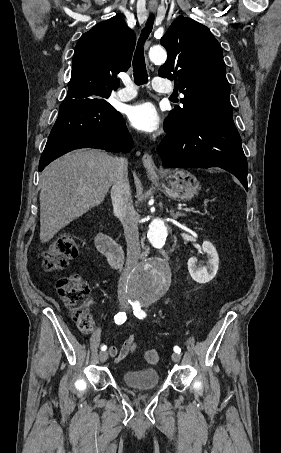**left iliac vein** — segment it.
Segmentation results:
<instances>
[{"instance_id":"obj_1","label":"left iliac vein","mask_w":281,"mask_h":453,"mask_svg":"<svg viewBox=\"0 0 281 453\" xmlns=\"http://www.w3.org/2000/svg\"><path fill=\"white\" fill-rule=\"evenodd\" d=\"M180 360H181V355L172 353V355H171V361L172 362H178Z\"/></svg>"}]
</instances>
